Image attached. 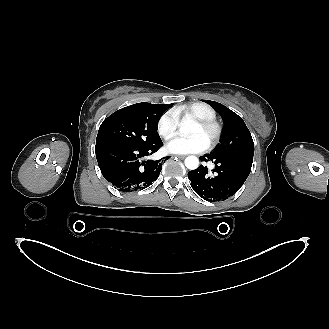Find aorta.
<instances>
[{"mask_svg": "<svg viewBox=\"0 0 329 329\" xmlns=\"http://www.w3.org/2000/svg\"><path fill=\"white\" fill-rule=\"evenodd\" d=\"M180 132L183 134H188L190 132V123L183 121L180 125ZM185 166L190 170H195L199 166V159L195 156H188L185 159Z\"/></svg>", "mask_w": 329, "mask_h": 329, "instance_id": "obj_1", "label": "aorta"}]
</instances>
